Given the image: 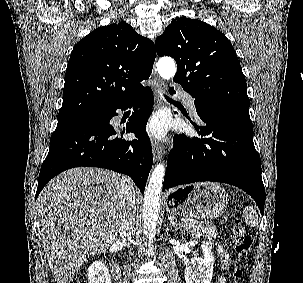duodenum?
I'll list each match as a JSON object with an SVG mask.
<instances>
[{
    "label": "duodenum",
    "instance_id": "410a0bca",
    "mask_svg": "<svg viewBox=\"0 0 303 283\" xmlns=\"http://www.w3.org/2000/svg\"><path fill=\"white\" fill-rule=\"evenodd\" d=\"M110 264H111L113 275L118 280L121 275L120 266L115 260H111Z\"/></svg>",
    "mask_w": 303,
    "mask_h": 283
}]
</instances>
